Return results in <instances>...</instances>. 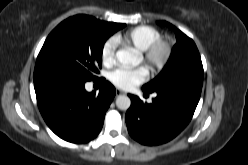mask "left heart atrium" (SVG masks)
<instances>
[{
    "instance_id": "39dd6f15",
    "label": "left heart atrium",
    "mask_w": 248,
    "mask_h": 165,
    "mask_svg": "<svg viewBox=\"0 0 248 165\" xmlns=\"http://www.w3.org/2000/svg\"><path fill=\"white\" fill-rule=\"evenodd\" d=\"M146 67L117 68L110 74V81L118 88L130 90L143 83L148 77Z\"/></svg>"
}]
</instances>
